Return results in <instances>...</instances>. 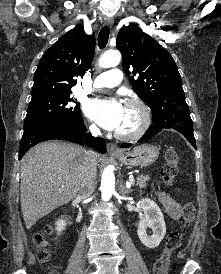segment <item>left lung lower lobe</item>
I'll return each instance as SVG.
<instances>
[{
    "mask_svg": "<svg viewBox=\"0 0 221 274\" xmlns=\"http://www.w3.org/2000/svg\"><path fill=\"white\" fill-rule=\"evenodd\" d=\"M175 129L183 134L186 139L196 148V141L193 135V125L190 117L187 103L180 102L168 108L161 110L153 115V124L140 138L138 142L148 140L158 134L163 129ZM131 144L123 143L120 147H130Z\"/></svg>",
    "mask_w": 221,
    "mask_h": 274,
    "instance_id": "left-lung-lower-lobe-1",
    "label": "left lung lower lobe"
}]
</instances>
